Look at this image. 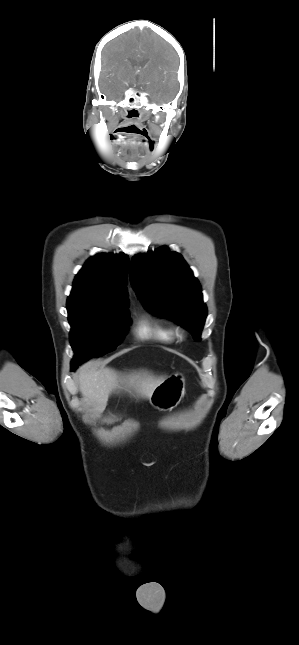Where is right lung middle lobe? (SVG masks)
Returning <instances> with one entry per match:
<instances>
[{"label": "right lung middle lobe", "instance_id": "dd1d6c3e", "mask_svg": "<svg viewBox=\"0 0 299 645\" xmlns=\"http://www.w3.org/2000/svg\"><path fill=\"white\" fill-rule=\"evenodd\" d=\"M67 310L71 325L70 343L74 351L72 370L90 357L114 350L130 324L126 307L67 306Z\"/></svg>", "mask_w": 299, "mask_h": 645}]
</instances>
